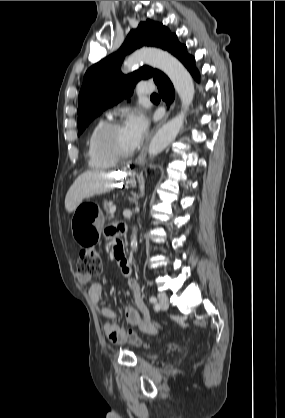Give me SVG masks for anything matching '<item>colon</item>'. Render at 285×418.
Returning <instances> with one entry per match:
<instances>
[{
    "mask_svg": "<svg viewBox=\"0 0 285 418\" xmlns=\"http://www.w3.org/2000/svg\"><path fill=\"white\" fill-rule=\"evenodd\" d=\"M114 255L117 261L125 260V249L124 244L122 241L118 240L114 247ZM101 270V263L98 256V253L91 249H84L80 252L79 259L77 262V273L81 276H91L96 275ZM108 328L110 330H114L112 325H109ZM121 333L125 336V338L132 344L140 345L141 340L139 336L131 331V330H124L122 328L119 329Z\"/></svg>",
    "mask_w": 285,
    "mask_h": 418,
    "instance_id": "5ec220e1",
    "label": "colon"
}]
</instances>
